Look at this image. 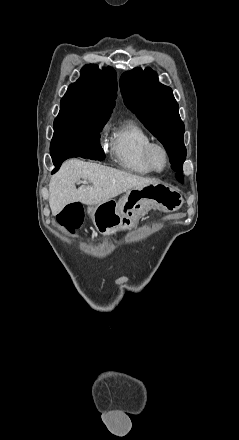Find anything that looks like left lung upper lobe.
Instances as JSON below:
<instances>
[{
	"label": "left lung upper lobe",
	"instance_id": "5c2ea615",
	"mask_svg": "<svg viewBox=\"0 0 239 440\" xmlns=\"http://www.w3.org/2000/svg\"><path fill=\"white\" fill-rule=\"evenodd\" d=\"M120 89L126 106L134 112L147 129L164 145L176 172L183 171L186 158L184 123L172 89L158 81L150 68H135L120 78Z\"/></svg>",
	"mask_w": 239,
	"mask_h": 440
}]
</instances>
